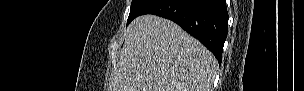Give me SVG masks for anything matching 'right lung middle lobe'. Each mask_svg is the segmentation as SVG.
<instances>
[{"label": "right lung middle lobe", "mask_w": 304, "mask_h": 91, "mask_svg": "<svg viewBox=\"0 0 304 91\" xmlns=\"http://www.w3.org/2000/svg\"><path fill=\"white\" fill-rule=\"evenodd\" d=\"M150 0H132L130 14L127 20V25L137 16Z\"/></svg>", "instance_id": "obj_1"}]
</instances>
